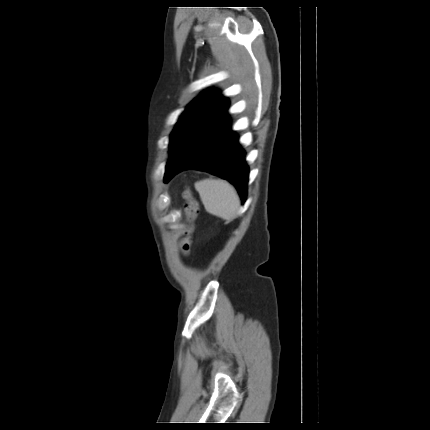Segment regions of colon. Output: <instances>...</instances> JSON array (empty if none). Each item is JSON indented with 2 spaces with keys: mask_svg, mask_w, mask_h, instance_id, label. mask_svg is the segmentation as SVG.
<instances>
[{
  "mask_svg": "<svg viewBox=\"0 0 430 430\" xmlns=\"http://www.w3.org/2000/svg\"><path fill=\"white\" fill-rule=\"evenodd\" d=\"M185 199V213L188 221H193L198 212V205L192 193L189 190L184 192ZM193 232L192 225H188L184 231V235L180 242V251L185 256L188 257L191 249V235Z\"/></svg>",
  "mask_w": 430,
  "mask_h": 430,
  "instance_id": "obj_1",
  "label": "colon"
}]
</instances>
